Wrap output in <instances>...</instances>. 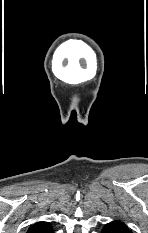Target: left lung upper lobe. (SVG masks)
I'll return each mask as SVG.
<instances>
[{
  "mask_svg": "<svg viewBox=\"0 0 148 233\" xmlns=\"http://www.w3.org/2000/svg\"><path fill=\"white\" fill-rule=\"evenodd\" d=\"M110 228L118 233H132L128 227L121 221H112L107 223L103 229Z\"/></svg>",
  "mask_w": 148,
  "mask_h": 233,
  "instance_id": "left-lung-upper-lobe-1",
  "label": "left lung upper lobe"
}]
</instances>
